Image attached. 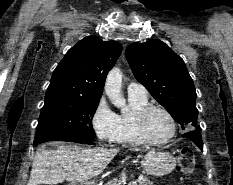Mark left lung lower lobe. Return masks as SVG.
<instances>
[{
  "label": "left lung lower lobe",
  "mask_w": 233,
  "mask_h": 185,
  "mask_svg": "<svg viewBox=\"0 0 233 185\" xmlns=\"http://www.w3.org/2000/svg\"><path fill=\"white\" fill-rule=\"evenodd\" d=\"M184 138H188L193 141L202 151H203V143L201 134L199 131H190L182 135Z\"/></svg>",
  "instance_id": "left-lung-lower-lobe-1"
}]
</instances>
